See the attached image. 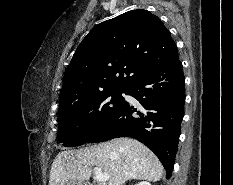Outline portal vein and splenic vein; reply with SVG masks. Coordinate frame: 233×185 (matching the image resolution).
<instances>
[{
    "label": "portal vein and splenic vein",
    "mask_w": 233,
    "mask_h": 185,
    "mask_svg": "<svg viewBox=\"0 0 233 185\" xmlns=\"http://www.w3.org/2000/svg\"><path fill=\"white\" fill-rule=\"evenodd\" d=\"M94 173L97 181L99 182H106L109 180V175L102 172V170L98 167H94Z\"/></svg>",
    "instance_id": "obj_1"
}]
</instances>
